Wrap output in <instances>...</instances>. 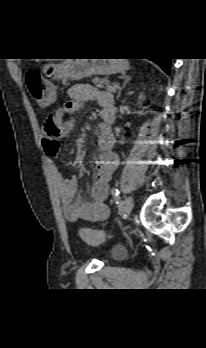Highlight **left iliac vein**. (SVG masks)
Instances as JSON below:
<instances>
[{
  "instance_id": "4c4485c4",
  "label": "left iliac vein",
  "mask_w": 206,
  "mask_h": 348,
  "mask_svg": "<svg viewBox=\"0 0 206 348\" xmlns=\"http://www.w3.org/2000/svg\"><path fill=\"white\" fill-rule=\"evenodd\" d=\"M133 209V199L130 196L125 197L123 201L122 212L125 217H128Z\"/></svg>"
}]
</instances>
